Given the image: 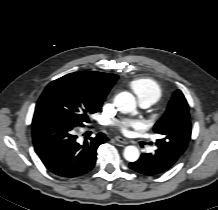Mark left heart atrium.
I'll return each mask as SVG.
<instances>
[{"label": "left heart atrium", "mask_w": 218, "mask_h": 210, "mask_svg": "<svg viewBox=\"0 0 218 210\" xmlns=\"http://www.w3.org/2000/svg\"><path fill=\"white\" fill-rule=\"evenodd\" d=\"M122 133L127 134L129 133L130 129L141 130L144 128V123L140 120H128L124 121L119 126Z\"/></svg>", "instance_id": "1"}]
</instances>
